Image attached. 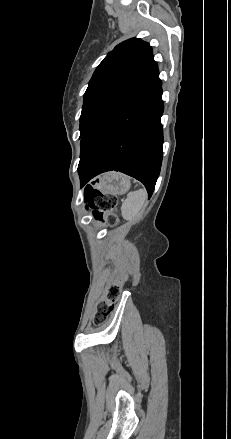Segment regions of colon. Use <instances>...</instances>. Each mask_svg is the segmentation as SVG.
<instances>
[{"label":"colon","instance_id":"obj_1","mask_svg":"<svg viewBox=\"0 0 231 439\" xmlns=\"http://www.w3.org/2000/svg\"><path fill=\"white\" fill-rule=\"evenodd\" d=\"M86 206L94 212L96 220H101L105 214H110L117 206V198L112 194H104L96 190L87 192ZM109 220L114 222L115 216L109 215ZM121 295V288L118 284L108 286L106 296L103 301L98 304L97 312L94 317L96 324L102 323L112 312V306Z\"/></svg>","mask_w":231,"mask_h":439}]
</instances>
